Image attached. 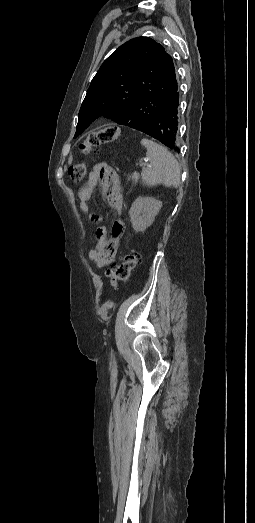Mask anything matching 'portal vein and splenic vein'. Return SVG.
Here are the masks:
<instances>
[{"label": "portal vein and splenic vein", "instance_id": "18ae733b", "mask_svg": "<svg viewBox=\"0 0 255 523\" xmlns=\"http://www.w3.org/2000/svg\"><path fill=\"white\" fill-rule=\"evenodd\" d=\"M148 165V162L146 160L143 161H136V166H143L146 167Z\"/></svg>", "mask_w": 255, "mask_h": 523}]
</instances>
